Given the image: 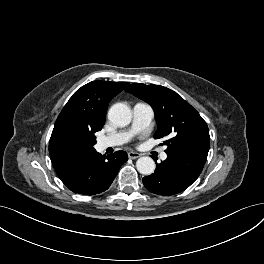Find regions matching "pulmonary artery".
<instances>
[{
    "instance_id": "pulmonary-artery-1",
    "label": "pulmonary artery",
    "mask_w": 264,
    "mask_h": 264,
    "mask_svg": "<svg viewBox=\"0 0 264 264\" xmlns=\"http://www.w3.org/2000/svg\"><path fill=\"white\" fill-rule=\"evenodd\" d=\"M154 118L153 108L144 102H138L133 107L132 125L128 130L119 131L105 136L98 141L100 149L122 145L128 142L135 134L145 130L151 124ZM162 160L167 158V154L162 152L160 155Z\"/></svg>"
}]
</instances>
